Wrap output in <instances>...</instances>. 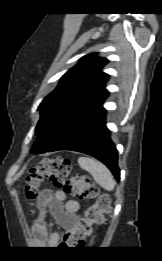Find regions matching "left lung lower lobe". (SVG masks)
<instances>
[{"label":"left lung lower lobe","instance_id":"1","mask_svg":"<svg viewBox=\"0 0 162 261\" xmlns=\"http://www.w3.org/2000/svg\"><path fill=\"white\" fill-rule=\"evenodd\" d=\"M105 115L106 110L103 108L98 114L46 151L72 150L91 155L104 163L116 180H119L118 152L110 138V131L105 125Z\"/></svg>","mask_w":162,"mask_h":261}]
</instances>
